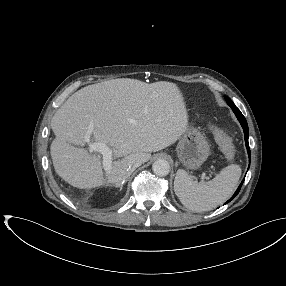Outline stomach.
I'll use <instances>...</instances> for the list:
<instances>
[{
	"label": "stomach",
	"mask_w": 286,
	"mask_h": 286,
	"mask_svg": "<svg viewBox=\"0 0 286 286\" xmlns=\"http://www.w3.org/2000/svg\"><path fill=\"white\" fill-rule=\"evenodd\" d=\"M209 154V145L203 134L198 129L188 126L177 146L180 162L188 169H198Z\"/></svg>",
	"instance_id": "0dacf381"
}]
</instances>
